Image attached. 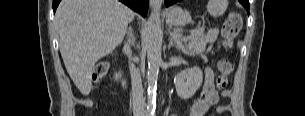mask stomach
<instances>
[{
    "mask_svg": "<svg viewBox=\"0 0 305 116\" xmlns=\"http://www.w3.org/2000/svg\"><path fill=\"white\" fill-rule=\"evenodd\" d=\"M166 19L170 25L181 27L190 21V16L180 7H173L166 12Z\"/></svg>",
    "mask_w": 305,
    "mask_h": 116,
    "instance_id": "stomach-1",
    "label": "stomach"
}]
</instances>
